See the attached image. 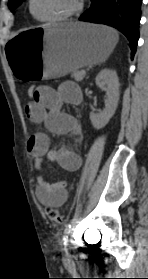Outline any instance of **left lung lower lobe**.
Listing matches in <instances>:
<instances>
[{
    "instance_id": "left-lung-lower-lobe-1",
    "label": "left lung lower lobe",
    "mask_w": 148,
    "mask_h": 279,
    "mask_svg": "<svg viewBox=\"0 0 148 279\" xmlns=\"http://www.w3.org/2000/svg\"><path fill=\"white\" fill-rule=\"evenodd\" d=\"M88 11L79 18L81 21L101 23L121 31L130 41L132 57L139 39V23L142 0H91Z\"/></svg>"
}]
</instances>
